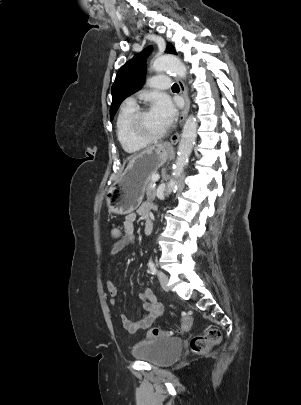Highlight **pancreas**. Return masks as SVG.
I'll return each mask as SVG.
<instances>
[{"instance_id": "1", "label": "pancreas", "mask_w": 301, "mask_h": 405, "mask_svg": "<svg viewBox=\"0 0 301 405\" xmlns=\"http://www.w3.org/2000/svg\"><path fill=\"white\" fill-rule=\"evenodd\" d=\"M152 176H151L150 182L146 188V196H147L148 201H154L155 197H156V189H155V187L152 186V184L154 183V181H152Z\"/></svg>"}]
</instances>
